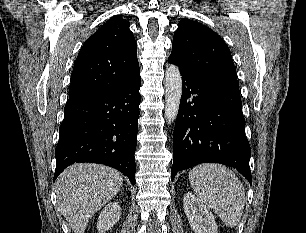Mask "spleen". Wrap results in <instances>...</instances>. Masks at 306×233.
I'll return each instance as SVG.
<instances>
[{
  "label": "spleen",
  "mask_w": 306,
  "mask_h": 233,
  "mask_svg": "<svg viewBox=\"0 0 306 233\" xmlns=\"http://www.w3.org/2000/svg\"><path fill=\"white\" fill-rule=\"evenodd\" d=\"M189 182L199 200L208 205L227 227L239 224L245 190L239 178L221 164H200L189 173Z\"/></svg>",
  "instance_id": "3e777b00"
}]
</instances>
